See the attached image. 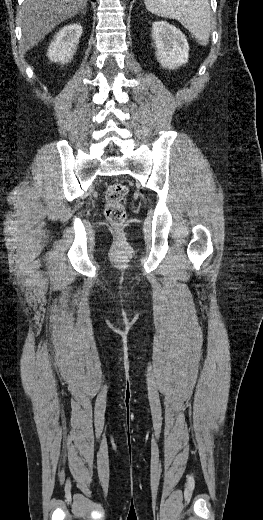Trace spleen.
Instances as JSON below:
<instances>
[{
  "label": "spleen",
  "mask_w": 263,
  "mask_h": 520,
  "mask_svg": "<svg viewBox=\"0 0 263 520\" xmlns=\"http://www.w3.org/2000/svg\"><path fill=\"white\" fill-rule=\"evenodd\" d=\"M152 14L176 19L197 42L205 46L211 33V9L209 0H144Z\"/></svg>",
  "instance_id": "3e777b00"
}]
</instances>
